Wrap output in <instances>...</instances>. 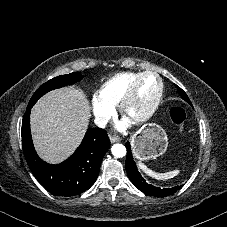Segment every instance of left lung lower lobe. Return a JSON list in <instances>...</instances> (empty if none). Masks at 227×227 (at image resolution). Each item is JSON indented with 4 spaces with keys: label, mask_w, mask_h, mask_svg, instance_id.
<instances>
[{
    "label": "left lung lower lobe",
    "mask_w": 227,
    "mask_h": 227,
    "mask_svg": "<svg viewBox=\"0 0 227 227\" xmlns=\"http://www.w3.org/2000/svg\"><path fill=\"white\" fill-rule=\"evenodd\" d=\"M127 148V158H126V170L131 182L145 194L156 196V197H166L171 194H174L182 188L181 186L172 187V188H159L155 187L146 182V180L139 173L136 164L133 160L131 153V148L129 142L125 144Z\"/></svg>",
    "instance_id": "left-lung-lower-lobe-1"
}]
</instances>
